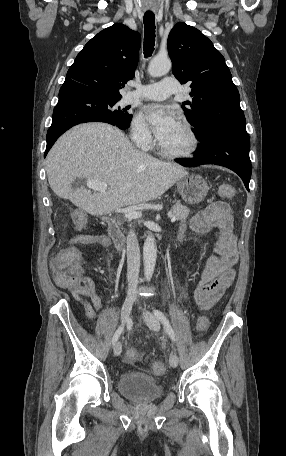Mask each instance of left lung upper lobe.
Returning <instances> with one entry per match:
<instances>
[{"label": "left lung upper lobe", "mask_w": 286, "mask_h": 456, "mask_svg": "<svg viewBox=\"0 0 286 456\" xmlns=\"http://www.w3.org/2000/svg\"><path fill=\"white\" fill-rule=\"evenodd\" d=\"M174 76L190 83L192 102L183 103L196 138L216 127L246 129L239 92L222 54L198 29L177 23L168 36Z\"/></svg>", "instance_id": "left-lung-upper-lobe-1"}]
</instances>
